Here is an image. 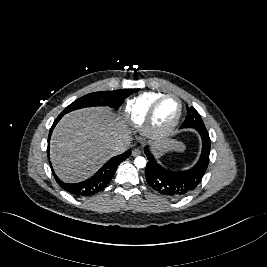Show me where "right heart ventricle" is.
I'll return each mask as SVG.
<instances>
[{
	"instance_id": "1",
	"label": "right heart ventricle",
	"mask_w": 267,
	"mask_h": 267,
	"mask_svg": "<svg viewBox=\"0 0 267 267\" xmlns=\"http://www.w3.org/2000/svg\"><path fill=\"white\" fill-rule=\"evenodd\" d=\"M161 95V92L150 91L128 100L124 108L126 120L135 127L141 126L151 104Z\"/></svg>"
}]
</instances>
